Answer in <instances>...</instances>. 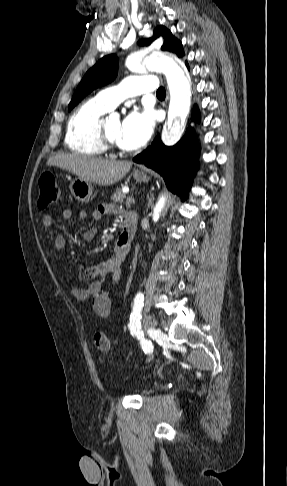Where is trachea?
Returning <instances> with one entry per match:
<instances>
[{"label":"trachea","instance_id":"obj_1","mask_svg":"<svg viewBox=\"0 0 287 486\" xmlns=\"http://www.w3.org/2000/svg\"><path fill=\"white\" fill-rule=\"evenodd\" d=\"M157 96H165L166 95V91L164 89V87H160L158 90H157Z\"/></svg>","mask_w":287,"mask_h":486}]
</instances>
